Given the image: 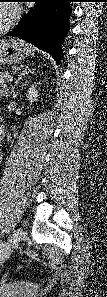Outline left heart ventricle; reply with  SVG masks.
Returning <instances> with one entry per match:
<instances>
[{
    "instance_id": "b2bd125f",
    "label": "left heart ventricle",
    "mask_w": 107,
    "mask_h": 297,
    "mask_svg": "<svg viewBox=\"0 0 107 297\" xmlns=\"http://www.w3.org/2000/svg\"><path fill=\"white\" fill-rule=\"evenodd\" d=\"M0 26L4 25L10 18V10L7 6H0Z\"/></svg>"
}]
</instances>
